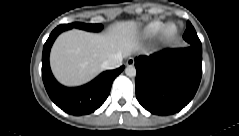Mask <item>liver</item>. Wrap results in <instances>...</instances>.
Returning <instances> with one entry per match:
<instances>
[{"mask_svg": "<svg viewBox=\"0 0 239 136\" xmlns=\"http://www.w3.org/2000/svg\"><path fill=\"white\" fill-rule=\"evenodd\" d=\"M139 25L135 21L117 22L105 33L72 29L60 34L50 53L55 78L66 86L91 81L115 55L127 56L139 50Z\"/></svg>", "mask_w": 239, "mask_h": 136, "instance_id": "liver-1", "label": "liver"}]
</instances>
